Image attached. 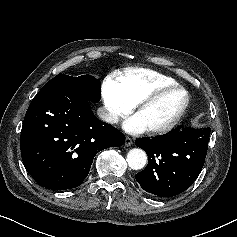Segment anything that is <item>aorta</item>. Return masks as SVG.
I'll return each instance as SVG.
<instances>
[{"label": "aorta", "instance_id": "obj_1", "mask_svg": "<svg viewBox=\"0 0 237 237\" xmlns=\"http://www.w3.org/2000/svg\"><path fill=\"white\" fill-rule=\"evenodd\" d=\"M126 161L131 169L140 170L147 162V155L142 149L134 148L128 152Z\"/></svg>", "mask_w": 237, "mask_h": 237}]
</instances>
